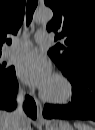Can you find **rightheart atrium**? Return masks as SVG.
<instances>
[{"label": "right heart atrium", "mask_w": 95, "mask_h": 130, "mask_svg": "<svg viewBox=\"0 0 95 130\" xmlns=\"http://www.w3.org/2000/svg\"><path fill=\"white\" fill-rule=\"evenodd\" d=\"M20 90L23 91V90H24V87H23V86H20Z\"/></svg>", "instance_id": "right-heart-atrium-1"}]
</instances>
